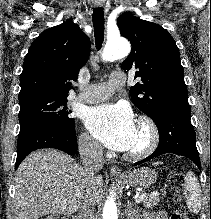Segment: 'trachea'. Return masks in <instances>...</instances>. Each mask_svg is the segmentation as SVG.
<instances>
[{"label":"trachea","mask_w":211,"mask_h":219,"mask_svg":"<svg viewBox=\"0 0 211 219\" xmlns=\"http://www.w3.org/2000/svg\"><path fill=\"white\" fill-rule=\"evenodd\" d=\"M93 27H94V37L95 44L98 50L101 49L104 40V11L100 7L93 10Z\"/></svg>","instance_id":"1"}]
</instances>
